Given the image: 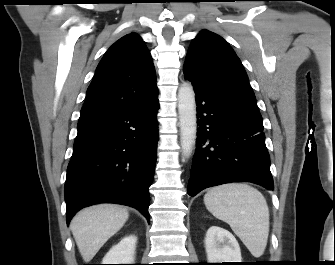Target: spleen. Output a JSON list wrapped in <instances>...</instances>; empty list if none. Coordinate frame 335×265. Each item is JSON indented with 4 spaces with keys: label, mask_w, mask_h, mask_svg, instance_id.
Masks as SVG:
<instances>
[{
    "label": "spleen",
    "mask_w": 335,
    "mask_h": 265,
    "mask_svg": "<svg viewBox=\"0 0 335 265\" xmlns=\"http://www.w3.org/2000/svg\"><path fill=\"white\" fill-rule=\"evenodd\" d=\"M206 208L230 225L254 257L263 255L269 235V208L263 194L244 183L216 186L204 196Z\"/></svg>",
    "instance_id": "spleen-1"
}]
</instances>
